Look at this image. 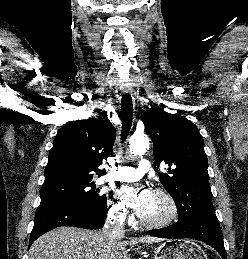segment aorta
Segmentation results:
<instances>
[{
  "label": "aorta",
  "instance_id": "aorta-1",
  "mask_svg": "<svg viewBox=\"0 0 248 259\" xmlns=\"http://www.w3.org/2000/svg\"><path fill=\"white\" fill-rule=\"evenodd\" d=\"M149 139L145 135L132 136L129 141V151L134 155L144 154L149 148Z\"/></svg>",
  "mask_w": 248,
  "mask_h": 259
}]
</instances>
